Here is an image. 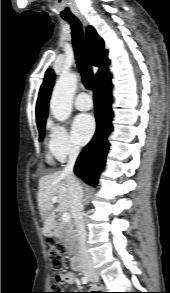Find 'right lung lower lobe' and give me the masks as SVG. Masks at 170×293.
<instances>
[{
	"label": "right lung lower lobe",
	"instance_id": "1",
	"mask_svg": "<svg viewBox=\"0 0 170 293\" xmlns=\"http://www.w3.org/2000/svg\"><path fill=\"white\" fill-rule=\"evenodd\" d=\"M111 90V75L105 76L96 83L94 103L97 130L93 139L80 153L74 168L75 174L91 186L96 185L99 174L104 168L109 147L107 137L113 129Z\"/></svg>",
	"mask_w": 170,
	"mask_h": 293
}]
</instances>
